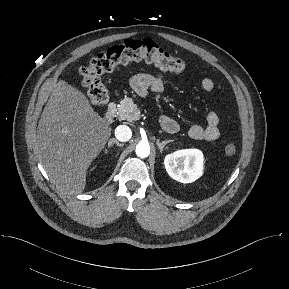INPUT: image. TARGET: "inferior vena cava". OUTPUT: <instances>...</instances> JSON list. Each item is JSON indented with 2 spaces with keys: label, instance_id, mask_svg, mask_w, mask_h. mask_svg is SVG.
<instances>
[{
  "label": "inferior vena cava",
  "instance_id": "inferior-vena-cava-1",
  "mask_svg": "<svg viewBox=\"0 0 289 289\" xmlns=\"http://www.w3.org/2000/svg\"><path fill=\"white\" fill-rule=\"evenodd\" d=\"M115 137L120 142H126L132 137V131L126 125H119L115 129Z\"/></svg>",
  "mask_w": 289,
  "mask_h": 289
}]
</instances>
